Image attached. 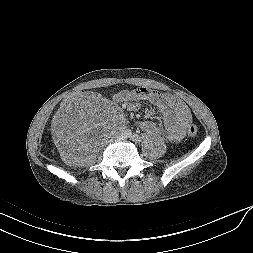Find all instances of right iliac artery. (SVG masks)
<instances>
[{
  "mask_svg": "<svg viewBox=\"0 0 253 253\" xmlns=\"http://www.w3.org/2000/svg\"><path fill=\"white\" fill-rule=\"evenodd\" d=\"M125 135H126L127 137H131L132 133H131L130 130H126V131H125Z\"/></svg>",
  "mask_w": 253,
  "mask_h": 253,
  "instance_id": "obj_1",
  "label": "right iliac artery"
}]
</instances>
